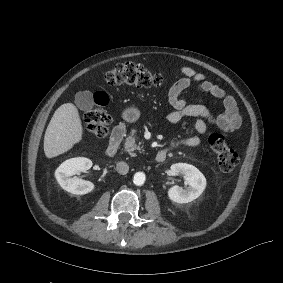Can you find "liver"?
Returning <instances> with one entry per match:
<instances>
[{"label": "liver", "mask_w": 283, "mask_h": 283, "mask_svg": "<svg viewBox=\"0 0 283 283\" xmlns=\"http://www.w3.org/2000/svg\"><path fill=\"white\" fill-rule=\"evenodd\" d=\"M84 128L77 106L61 105L54 113L44 137V153L52 159L70 151L83 137Z\"/></svg>", "instance_id": "6515ba94"}]
</instances>
